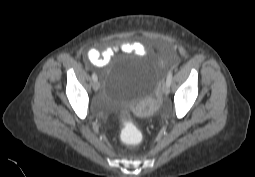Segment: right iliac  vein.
<instances>
[{"label":"right iliac vein","instance_id":"1","mask_svg":"<svg viewBox=\"0 0 255 177\" xmlns=\"http://www.w3.org/2000/svg\"><path fill=\"white\" fill-rule=\"evenodd\" d=\"M99 82L98 81H94L93 82V90L96 92L99 90Z\"/></svg>","mask_w":255,"mask_h":177}]
</instances>
